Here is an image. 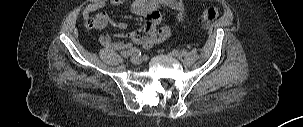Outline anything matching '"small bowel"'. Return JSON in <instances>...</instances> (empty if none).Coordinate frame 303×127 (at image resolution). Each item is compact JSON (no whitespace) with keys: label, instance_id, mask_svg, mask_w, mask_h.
<instances>
[{"label":"small bowel","instance_id":"obj_1","mask_svg":"<svg viewBox=\"0 0 303 127\" xmlns=\"http://www.w3.org/2000/svg\"><path fill=\"white\" fill-rule=\"evenodd\" d=\"M128 0H95L84 10V17L104 8L108 3L120 5ZM170 9L176 13V18L181 21L186 13V7L181 0H134L131 10L134 14L145 17L143 26L134 32L128 43L115 41L109 34H103L100 37V43L106 48L117 51H127L133 48V45H139L143 49H149L157 43L165 41L170 30L167 27H159L161 23V10ZM95 26L99 29L108 24H112L118 29H125L126 24L122 22H112L110 17L104 13H97L94 17Z\"/></svg>","mask_w":303,"mask_h":127}]
</instances>
